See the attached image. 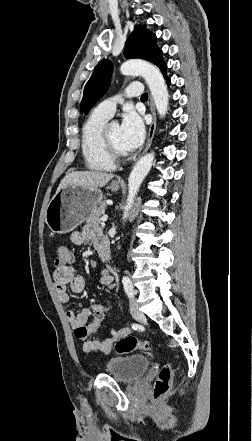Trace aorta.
Listing matches in <instances>:
<instances>
[{
  "instance_id": "obj_1",
  "label": "aorta",
  "mask_w": 252,
  "mask_h": 441,
  "mask_svg": "<svg viewBox=\"0 0 252 441\" xmlns=\"http://www.w3.org/2000/svg\"><path fill=\"white\" fill-rule=\"evenodd\" d=\"M120 71L124 75H141L144 77L151 91L158 114L164 117L168 109L169 94L160 70L154 65L142 60H129L121 65ZM154 157V152L141 157L129 175L128 196L124 207L123 221H126L129 216L141 183L152 167Z\"/></svg>"
}]
</instances>
